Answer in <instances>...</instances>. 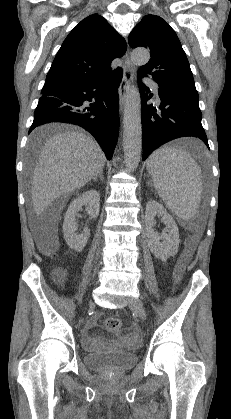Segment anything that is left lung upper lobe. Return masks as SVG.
<instances>
[{
  "label": "left lung upper lobe",
  "instance_id": "obj_1",
  "mask_svg": "<svg viewBox=\"0 0 231 419\" xmlns=\"http://www.w3.org/2000/svg\"><path fill=\"white\" fill-rule=\"evenodd\" d=\"M132 48L145 47L151 59L138 74H150L159 86L197 93L182 45L170 25L159 16H144L129 35Z\"/></svg>",
  "mask_w": 231,
  "mask_h": 419
}]
</instances>
